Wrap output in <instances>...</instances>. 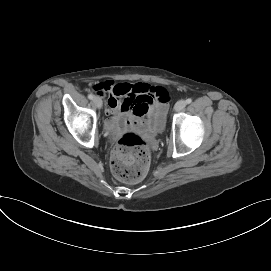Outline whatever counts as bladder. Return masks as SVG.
<instances>
[{
    "instance_id": "31cf9c89",
    "label": "bladder",
    "mask_w": 271,
    "mask_h": 271,
    "mask_svg": "<svg viewBox=\"0 0 271 271\" xmlns=\"http://www.w3.org/2000/svg\"><path fill=\"white\" fill-rule=\"evenodd\" d=\"M163 125H164L163 121L159 122L158 124L153 123L152 129L155 131H161L163 128Z\"/></svg>"
}]
</instances>
